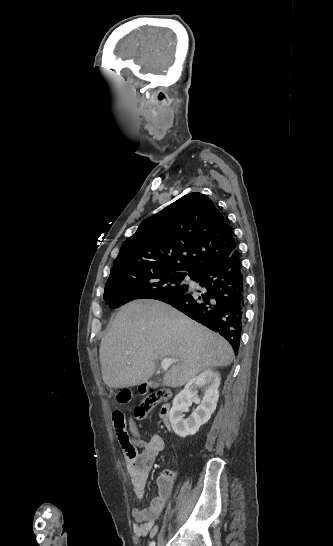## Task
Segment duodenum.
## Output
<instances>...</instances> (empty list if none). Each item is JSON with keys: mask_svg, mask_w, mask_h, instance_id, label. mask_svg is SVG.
Instances as JSON below:
<instances>
[{"mask_svg": "<svg viewBox=\"0 0 333 546\" xmlns=\"http://www.w3.org/2000/svg\"><path fill=\"white\" fill-rule=\"evenodd\" d=\"M144 390H145V387H144ZM169 412H170V406L168 404L163 405L160 410V417L167 427H170Z\"/></svg>", "mask_w": 333, "mask_h": 546, "instance_id": "obj_1", "label": "duodenum"}]
</instances>
